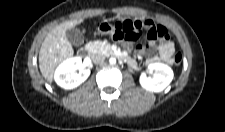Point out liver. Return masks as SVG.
I'll return each instance as SVG.
<instances>
[{"label":"liver","instance_id":"6515ba94","mask_svg":"<svg viewBox=\"0 0 225 132\" xmlns=\"http://www.w3.org/2000/svg\"><path fill=\"white\" fill-rule=\"evenodd\" d=\"M83 18L63 22L45 37L39 52V68L42 76L52 83L55 68L65 59L73 56L74 50L66 32L82 23Z\"/></svg>","mask_w":225,"mask_h":132}]
</instances>
